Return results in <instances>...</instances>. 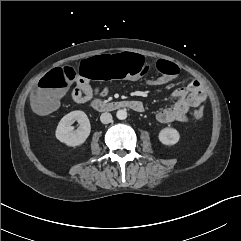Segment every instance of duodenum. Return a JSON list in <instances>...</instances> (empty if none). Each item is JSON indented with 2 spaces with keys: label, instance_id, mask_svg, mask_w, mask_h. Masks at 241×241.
Masks as SVG:
<instances>
[{
  "label": "duodenum",
  "instance_id": "duodenum-1",
  "mask_svg": "<svg viewBox=\"0 0 241 241\" xmlns=\"http://www.w3.org/2000/svg\"><path fill=\"white\" fill-rule=\"evenodd\" d=\"M91 107L96 111L108 112V111H114L122 108H135L136 105L134 102L126 101V100H114V101L94 100L91 103Z\"/></svg>",
  "mask_w": 241,
  "mask_h": 241
}]
</instances>
